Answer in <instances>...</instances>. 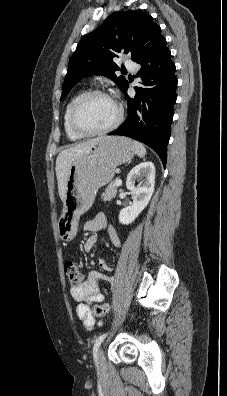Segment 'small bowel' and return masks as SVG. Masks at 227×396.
<instances>
[{
  "label": "small bowel",
  "mask_w": 227,
  "mask_h": 396,
  "mask_svg": "<svg viewBox=\"0 0 227 396\" xmlns=\"http://www.w3.org/2000/svg\"><path fill=\"white\" fill-rule=\"evenodd\" d=\"M84 229L88 232L106 230L111 244L115 247L120 246V238L116 230L111 225H109L107 217L103 213H99L92 219L86 221L84 224ZM96 243L97 237L95 235L89 236L84 243L85 251H91ZM97 263L101 270H111V267L104 259H98ZM108 282H110V278L107 275L94 272L91 273L88 278L82 281L80 284L71 287V295L78 303L76 307L77 316L81 320L84 327L88 329L92 328L96 321V317L89 304H99L103 302L104 296L101 293V286Z\"/></svg>",
  "instance_id": "small-bowel-1"
}]
</instances>
